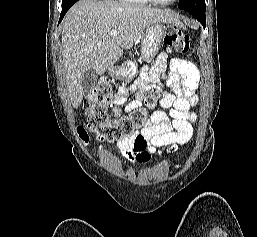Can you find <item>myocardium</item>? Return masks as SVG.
<instances>
[{
  "label": "myocardium",
  "mask_w": 257,
  "mask_h": 237,
  "mask_svg": "<svg viewBox=\"0 0 257 237\" xmlns=\"http://www.w3.org/2000/svg\"><path fill=\"white\" fill-rule=\"evenodd\" d=\"M149 1H151L152 3L158 4V5L166 6V5H172V4L176 3L178 0H169V1L149 0Z\"/></svg>",
  "instance_id": "obj_1"
}]
</instances>
